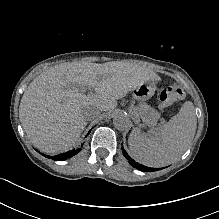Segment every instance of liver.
<instances>
[{
	"mask_svg": "<svg viewBox=\"0 0 219 219\" xmlns=\"http://www.w3.org/2000/svg\"><path fill=\"white\" fill-rule=\"evenodd\" d=\"M149 75L143 67L118 62H72L45 68L22 96L20 122L37 149L49 154L68 151L87 124L86 112H91L93 120L101 111L114 110L116 100ZM79 86L91 87L95 93L85 95L76 90Z\"/></svg>",
	"mask_w": 219,
	"mask_h": 219,
	"instance_id": "liver-1",
	"label": "liver"
}]
</instances>
